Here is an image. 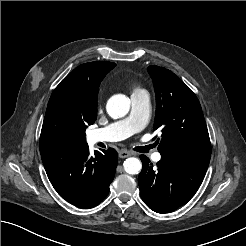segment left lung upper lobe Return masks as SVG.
I'll return each instance as SVG.
<instances>
[{
    "instance_id": "left-lung-upper-lobe-1",
    "label": "left lung upper lobe",
    "mask_w": 246,
    "mask_h": 246,
    "mask_svg": "<svg viewBox=\"0 0 246 246\" xmlns=\"http://www.w3.org/2000/svg\"><path fill=\"white\" fill-rule=\"evenodd\" d=\"M156 93L154 130L161 129L158 151L211 155V144L200 103L170 70L149 66Z\"/></svg>"
}]
</instances>
